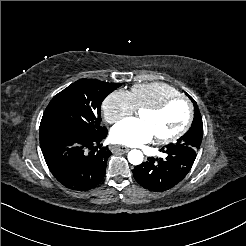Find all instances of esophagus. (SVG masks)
I'll list each match as a JSON object with an SVG mask.
<instances>
[{
	"instance_id": "esophagus-1",
	"label": "esophagus",
	"mask_w": 246,
	"mask_h": 246,
	"mask_svg": "<svg viewBox=\"0 0 246 246\" xmlns=\"http://www.w3.org/2000/svg\"><path fill=\"white\" fill-rule=\"evenodd\" d=\"M111 149L113 152H123V153H126L130 150L128 147L118 146V145L111 146Z\"/></svg>"
}]
</instances>
